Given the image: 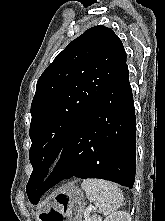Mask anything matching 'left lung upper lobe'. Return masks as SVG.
<instances>
[{
	"label": "left lung upper lobe",
	"mask_w": 165,
	"mask_h": 221,
	"mask_svg": "<svg viewBox=\"0 0 165 221\" xmlns=\"http://www.w3.org/2000/svg\"><path fill=\"white\" fill-rule=\"evenodd\" d=\"M126 64L119 37L95 26L74 39L38 79L31 104V203L69 136Z\"/></svg>",
	"instance_id": "obj_1"
}]
</instances>
